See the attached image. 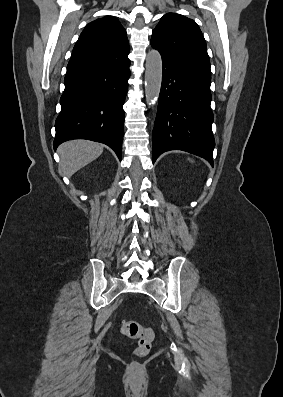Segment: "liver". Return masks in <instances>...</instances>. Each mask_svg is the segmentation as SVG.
I'll return each mask as SVG.
<instances>
[{
  "instance_id": "1",
  "label": "liver",
  "mask_w": 283,
  "mask_h": 397,
  "mask_svg": "<svg viewBox=\"0 0 283 397\" xmlns=\"http://www.w3.org/2000/svg\"><path fill=\"white\" fill-rule=\"evenodd\" d=\"M103 145L89 140H71L58 148L60 170L65 176H72L78 170L98 158L103 152Z\"/></svg>"
}]
</instances>
